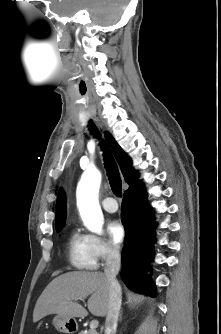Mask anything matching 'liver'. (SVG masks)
<instances>
[{"label":"liver","mask_w":221,"mask_h":334,"mask_svg":"<svg viewBox=\"0 0 221 334\" xmlns=\"http://www.w3.org/2000/svg\"><path fill=\"white\" fill-rule=\"evenodd\" d=\"M89 296L91 314L104 317L109 307V282L101 272L72 271L53 279L38 298L33 322L50 314L66 318L86 317L88 311L77 300Z\"/></svg>","instance_id":"liver-1"}]
</instances>
